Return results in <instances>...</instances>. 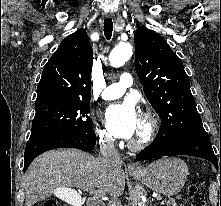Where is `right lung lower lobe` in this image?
Listing matches in <instances>:
<instances>
[{
	"label": "right lung lower lobe",
	"mask_w": 221,
	"mask_h": 206,
	"mask_svg": "<svg viewBox=\"0 0 221 206\" xmlns=\"http://www.w3.org/2000/svg\"><path fill=\"white\" fill-rule=\"evenodd\" d=\"M95 132L44 135L28 140L25 148L24 171L41 153L56 148H77L90 151L95 147Z\"/></svg>",
	"instance_id": "obj_1"
}]
</instances>
